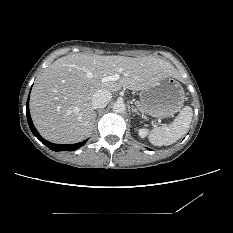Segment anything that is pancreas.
<instances>
[{
    "label": "pancreas",
    "mask_w": 233,
    "mask_h": 233,
    "mask_svg": "<svg viewBox=\"0 0 233 233\" xmlns=\"http://www.w3.org/2000/svg\"><path fill=\"white\" fill-rule=\"evenodd\" d=\"M140 109L143 110V108L140 106ZM144 111V110H143Z\"/></svg>",
    "instance_id": "1"
}]
</instances>
